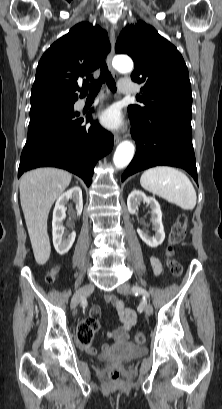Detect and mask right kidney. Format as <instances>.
Listing matches in <instances>:
<instances>
[{
	"instance_id": "1",
	"label": "right kidney",
	"mask_w": 222,
	"mask_h": 409,
	"mask_svg": "<svg viewBox=\"0 0 222 409\" xmlns=\"http://www.w3.org/2000/svg\"><path fill=\"white\" fill-rule=\"evenodd\" d=\"M69 200L76 204L77 215L80 216L83 210L82 190L79 186H74L59 196L53 210L52 235L53 244L58 254H66L72 247L76 233L65 232L63 220L65 219L66 207Z\"/></svg>"
}]
</instances>
